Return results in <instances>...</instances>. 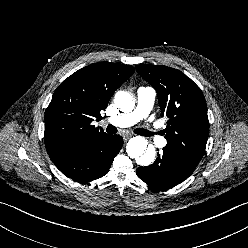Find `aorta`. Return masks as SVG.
<instances>
[{
  "instance_id": "1",
  "label": "aorta",
  "mask_w": 248,
  "mask_h": 248,
  "mask_svg": "<svg viewBox=\"0 0 248 248\" xmlns=\"http://www.w3.org/2000/svg\"><path fill=\"white\" fill-rule=\"evenodd\" d=\"M135 103V98L126 91H118L115 95V104L124 112L133 110ZM147 147L148 141L142 136H136L128 141L126 152L130 158L136 159L139 165L148 166L154 161L155 150Z\"/></svg>"
}]
</instances>
